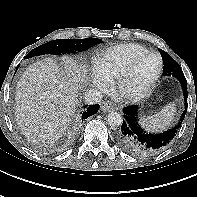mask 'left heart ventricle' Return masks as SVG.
<instances>
[{"instance_id":"1","label":"left heart ventricle","mask_w":197,"mask_h":197,"mask_svg":"<svg viewBox=\"0 0 197 197\" xmlns=\"http://www.w3.org/2000/svg\"><path fill=\"white\" fill-rule=\"evenodd\" d=\"M158 66L159 61L156 56H147L142 59L130 76L126 89L129 92H139L144 89L156 74Z\"/></svg>"}]
</instances>
